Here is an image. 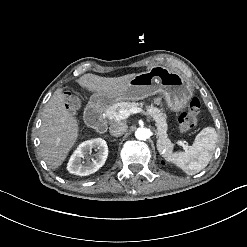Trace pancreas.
Masks as SVG:
<instances>
[{
    "label": "pancreas",
    "mask_w": 247,
    "mask_h": 247,
    "mask_svg": "<svg viewBox=\"0 0 247 247\" xmlns=\"http://www.w3.org/2000/svg\"><path fill=\"white\" fill-rule=\"evenodd\" d=\"M139 103L131 102H118L111 107L104 110V118L108 119L110 122H115L120 120V111L124 109H130L132 107H139ZM149 115L155 121L156 133H157V148L164 154L169 155L172 153L173 147L170 140L167 137V115L163 113L160 109L149 108Z\"/></svg>",
    "instance_id": "cf45deb5"
}]
</instances>
